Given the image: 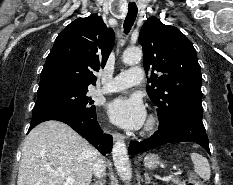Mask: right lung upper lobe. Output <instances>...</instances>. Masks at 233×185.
I'll return each instance as SVG.
<instances>
[{"label": "right lung upper lobe", "instance_id": "right-lung-upper-lobe-1", "mask_svg": "<svg viewBox=\"0 0 233 185\" xmlns=\"http://www.w3.org/2000/svg\"><path fill=\"white\" fill-rule=\"evenodd\" d=\"M114 32L96 14L78 18L56 38L41 72L39 89L96 85L94 71L106 64L114 45Z\"/></svg>", "mask_w": 233, "mask_h": 185}]
</instances>
